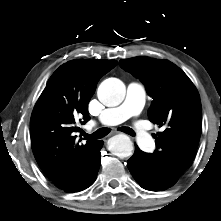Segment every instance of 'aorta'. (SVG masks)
Listing matches in <instances>:
<instances>
[{"mask_svg": "<svg viewBox=\"0 0 221 221\" xmlns=\"http://www.w3.org/2000/svg\"><path fill=\"white\" fill-rule=\"evenodd\" d=\"M126 89L124 83L117 78H108L98 87L97 95L102 104L108 107L118 106L125 97ZM109 150L120 158L132 155L133 144L130 138L119 134L110 138Z\"/></svg>", "mask_w": 221, "mask_h": 221, "instance_id": "1", "label": "aorta"}]
</instances>
